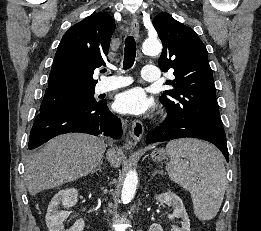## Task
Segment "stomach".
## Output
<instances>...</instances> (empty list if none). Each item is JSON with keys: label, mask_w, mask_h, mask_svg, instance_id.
Returning a JSON list of instances; mask_svg holds the SVG:
<instances>
[{"label": "stomach", "mask_w": 261, "mask_h": 231, "mask_svg": "<svg viewBox=\"0 0 261 231\" xmlns=\"http://www.w3.org/2000/svg\"><path fill=\"white\" fill-rule=\"evenodd\" d=\"M167 156H168V153L164 149H156V150L152 151V153H151V158L156 162H160L162 160L167 159Z\"/></svg>", "instance_id": "0dacf381"}]
</instances>
